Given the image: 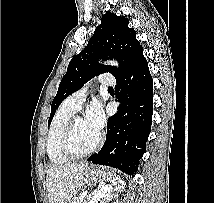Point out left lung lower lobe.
Returning <instances> with one entry per match:
<instances>
[{
	"label": "left lung lower lobe",
	"mask_w": 214,
	"mask_h": 203,
	"mask_svg": "<svg viewBox=\"0 0 214 203\" xmlns=\"http://www.w3.org/2000/svg\"><path fill=\"white\" fill-rule=\"evenodd\" d=\"M116 80L121 106L116 115L108 118L103 147L88 161L133 175L146 149L153 114V81L143 49Z\"/></svg>",
	"instance_id": "obj_1"
}]
</instances>
